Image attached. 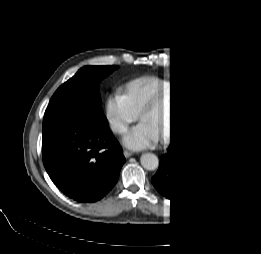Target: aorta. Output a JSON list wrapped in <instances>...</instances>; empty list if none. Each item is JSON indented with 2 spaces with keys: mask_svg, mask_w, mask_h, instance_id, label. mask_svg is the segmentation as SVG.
<instances>
[{
  "mask_svg": "<svg viewBox=\"0 0 261 254\" xmlns=\"http://www.w3.org/2000/svg\"><path fill=\"white\" fill-rule=\"evenodd\" d=\"M140 162L141 165L148 170H155L158 167V158L152 153L142 154Z\"/></svg>",
  "mask_w": 261,
  "mask_h": 254,
  "instance_id": "762f6f07",
  "label": "aorta"
}]
</instances>
